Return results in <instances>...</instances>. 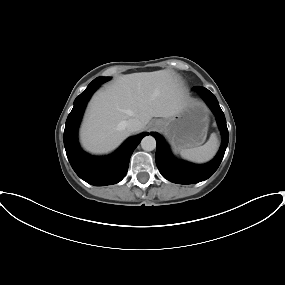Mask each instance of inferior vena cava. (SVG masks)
Here are the masks:
<instances>
[{
    "instance_id": "inferior-vena-cava-1",
    "label": "inferior vena cava",
    "mask_w": 285,
    "mask_h": 285,
    "mask_svg": "<svg viewBox=\"0 0 285 285\" xmlns=\"http://www.w3.org/2000/svg\"><path fill=\"white\" fill-rule=\"evenodd\" d=\"M125 127L130 133L137 132L141 128V122L138 119L131 118L125 122Z\"/></svg>"
}]
</instances>
